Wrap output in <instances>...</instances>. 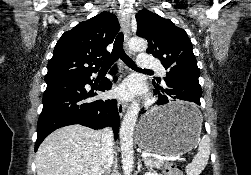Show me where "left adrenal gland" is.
Masks as SVG:
<instances>
[{"instance_id": "left-adrenal-gland-1", "label": "left adrenal gland", "mask_w": 251, "mask_h": 175, "mask_svg": "<svg viewBox=\"0 0 251 175\" xmlns=\"http://www.w3.org/2000/svg\"><path fill=\"white\" fill-rule=\"evenodd\" d=\"M141 167H142V161H141V159H138L137 171H141Z\"/></svg>"}]
</instances>
